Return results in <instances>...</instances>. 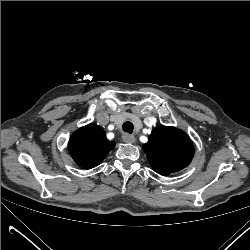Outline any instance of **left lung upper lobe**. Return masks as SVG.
Instances as JSON below:
<instances>
[{
  "instance_id": "1",
  "label": "left lung upper lobe",
  "mask_w": 250,
  "mask_h": 250,
  "mask_svg": "<svg viewBox=\"0 0 250 250\" xmlns=\"http://www.w3.org/2000/svg\"><path fill=\"white\" fill-rule=\"evenodd\" d=\"M143 150L153 170L164 176L188 166L194 155L189 136L182 130L167 126L154 128Z\"/></svg>"
}]
</instances>
